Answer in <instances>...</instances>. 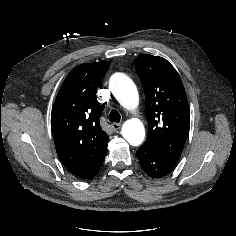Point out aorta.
Returning a JSON list of instances; mask_svg holds the SVG:
<instances>
[{"instance_id": "obj_1", "label": "aorta", "mask_w": 236, "mask_h": 236, "mask_svg": "<svg viewBox=\"0 0 236 236\" xmlns=\"http://www.w3.org/2000/svg\"><path fill=\"white\" fill-rule=\"evenodd\" d=\"M110 86L117 101L124 108L133 110L139 102V95L134 82L123 73H116L110 79ZM122 136L132 146H139L145 138L143 123L136 118L124 122Z\"/></svg>"}]
</instances>
